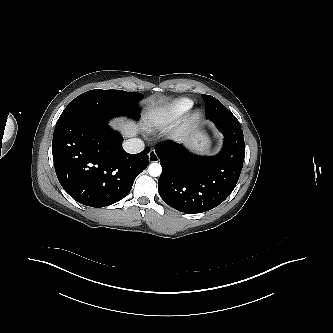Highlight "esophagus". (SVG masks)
<instances>
[{"mask_svg": "<svg viewBox=\"0 0 333 333\" xmlns=\"http://www.w3.org/2000/svg\"><path fill=\"white\" fill-rule=\"evenodd\" d=\"M148 159H149L150 162H158L159 161V157H158V155H157V153H156L155 150L152 149L149 152Z\"/></svg>", "mask_w": 333, "mask_h": 333, "instance_id": "1", "label": "esophagus"}]
</instances>
